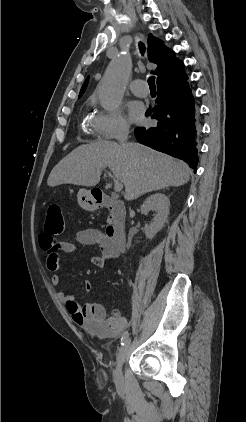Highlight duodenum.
<instances>
[{"label": "duodenum", "instance_id": "duodenum-1", "mask_svg": "<svg viewBox=\"0 0 246 422\" xmlns=\"http://www.w3.org/2000/svg\"><path fill=\"white\" fill-rule=\"evenodd\" d=\"M94 200L98 208H106L109 210V224L106 230V234L119 250H124L126 246L124 204L120 200L107 195H96L94 196Z\"/></svg>", "mask_w": 246, "mask_h": 422}]
</instances>
